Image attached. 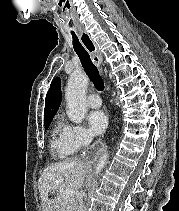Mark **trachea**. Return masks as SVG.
Masks as SVG:
<instances>
[{
	"label": "trachea",
	"instance_id": "trachea-1",
	"mask_svg": "<svg viewBox=\"0 0 179 211\" xmlns=\"http://www.w3.org/2000/svg\"><path fill=\"white\" fill-rule=\"evenodd\" d=\"M72 36H73L74 50L81 61L84 71L89 76V78L92 81V83L94 84L95 88L99 91H102L104 89V82H103L101 76L99 75L98 69L93 64L89 53L85 50V48L79 42V40L74 32H72Z\"/></svg>",
	"mask_w": 179,
	"mask_h": 211
}]
</instances>
